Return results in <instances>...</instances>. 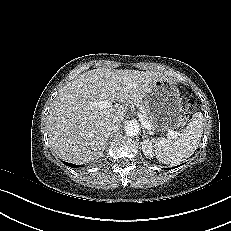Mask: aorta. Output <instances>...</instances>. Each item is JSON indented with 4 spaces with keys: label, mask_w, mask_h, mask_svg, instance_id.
I'll list each match as a JSON object with an SVG mask.
<instances>
[{
    "label": "aorta",
    "mask_w": 231,
    "mask_h": 231,
    "mask_svg": "<svg viewBox=\"0 0 231 231\" xmlns=\"http://www.w3.org/2000/svg\"><path fill=\"white\" fill-rule=\"evenodd\" d=\"M140 131L139 125L136 122H130L125 126V133L130 137H135Z\"/></svg>",
    "instance_id": "aorta-1"
}]
</instances>
